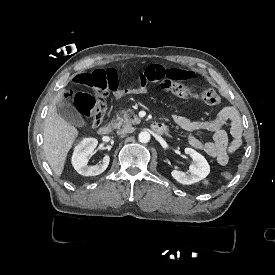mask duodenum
Masks as SVG:
<instances>
[{
  "instance_id": "410a0bca",
  "label": "duodenum",
  "mask_w": 275,
  "mask_h": 275,
  "mask_svg": "<svg viewBox=\"0 0 275 275\" xmlns=\"http://www.w3.org/2000/svg\"><path fill=\"white\" fill-rule=\"evenodd\" d=\"M112 130L113 125L111 123H105L98 128L97 133L100 136H106L110 134ZM151 130L156 134H164L167 132L168 129L163 123L154 122L151 124Z\"/></svg>"
}]
</instances>
